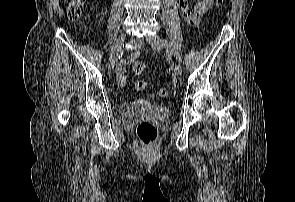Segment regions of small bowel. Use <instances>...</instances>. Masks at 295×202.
<instances>
[{
    "mask_svg": "<svg viewBox=\"0 0 295 202\" xmlns=\"http://www.w3.org/2000/svg\"><path fill=\"white\" fill-rule=\"evenodd\" d=\"M214 0H200L193 9L188 5L187 0H177V5L180 9L182 17L190 24H198L200 18L213 7ZM127 65L121 62L117 68V79L120 85H125Z\"/></svg>",
    "mask_w": 295,
    "mask_h": 202,
    "instance_id": "1",
    "label": "small bowel"
}]
</instances>
